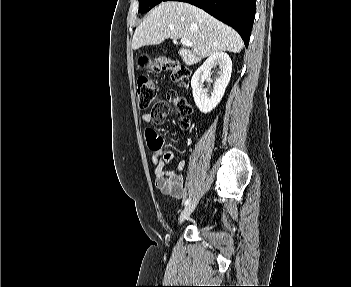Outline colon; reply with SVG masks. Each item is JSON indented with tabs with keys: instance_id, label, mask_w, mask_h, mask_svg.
Listing matches in <instances>:
<instances>
[{
	"instance_id": "obj_1",
	"label": "colon",
	"mask_w": 351,
	"mask_h": 287,
	"mask_svg": "<svg viewBox=\"0 0 351 287\" xmlns=\"http://www.w3.org/2000/svg\"><path fill=\"white\" fill-rule=\"evenodd\" d=\"M141 66L148 68L152 73L169 72L171 80L175 83H183L189 77V71L186 68L177 61L162 56L157 57L154 61L143 58ZM136 95L141 109H147L153 105V116L158 122H161L169 112V102H171L181 116L180 126L188 128L191 125L192 108L186 99L171 92L169 102L157 100L156 81L149 75H143L139 78Z\"/></svg>"
}]
</instances>
